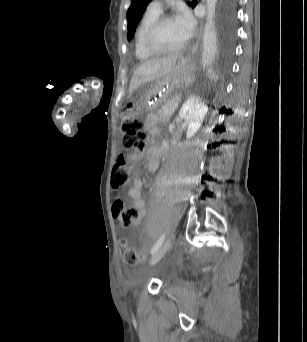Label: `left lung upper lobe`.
Instances as JSON below:
<instances>
[{"label": "left lung upper lobe", "mask_w": 307, "mask_h": 342, "mask_svg": "<svg viewBox=\"0 0 307 342\" xmlns=\"http://www.w3.org/2000/svg\"><path fill=\"white\" fill-rule=\"evenodd\" d=\"M151 0H131V6L127 11L128 20V39H132L135 28L138 25L148 3ZM197 2L190 5L195 6ZM234 20L235 13L233 8V0H221L219 10V26H220V46L223 52L231 51L232 40L234 37Z\"/></svg>", "instance_id": "5c2ea615"}]
</instances>
